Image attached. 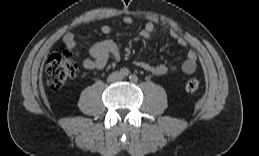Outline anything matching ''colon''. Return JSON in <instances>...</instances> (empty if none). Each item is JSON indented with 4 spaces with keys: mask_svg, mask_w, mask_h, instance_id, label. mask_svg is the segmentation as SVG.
Segmentation results:
<instances>
[{
    "mask_svg": "<svg viewBox=\"0 0 259 156\" xmlns=\"http://www.w3.org/2000/svg\"><path fill=\"white\" fill-rule=\"evenodd\" d=\"M47 84L52 89L61 88L67 81L77 76L78 68L68 50L55 53L48 57L45 63ZM200 87V80L192 78L185 84V90L193 93Z\"/></svg>",
    "mask_w": 259,
    "mask_h": 156,
    "instance_id": "1",
    "label": "colon"
}]
</instances>
